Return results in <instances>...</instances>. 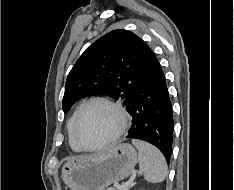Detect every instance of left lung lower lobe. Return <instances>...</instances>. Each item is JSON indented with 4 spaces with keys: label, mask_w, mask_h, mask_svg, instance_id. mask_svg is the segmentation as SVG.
<instances>
[{
    "label": "left lung lower lobe",
    "mask_w": 234,
    "mask_h": 190,
    "mask_svg": "<svg viewBox=\"0 0 234 190\" xmlns=\"http://www.w3.org/2000/svg\"><path fill=\"white\" fill-rule=\"evenodd\" d=\"M142 74L126 110L132 116L127 138L156 146L170 162L173 141V111L165 76L150 47L143 42Z\"/></svg>",
    "instance_id": "left-lung-lower-lobe-1"
}]
</instances>
